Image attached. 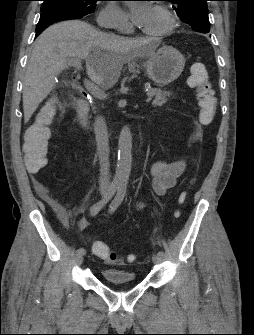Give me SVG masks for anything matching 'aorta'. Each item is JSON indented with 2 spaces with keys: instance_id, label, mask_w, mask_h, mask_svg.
Masks as SVG:
<instances>
[{
  "instance_id": "obj_1",
  "label": "aorta",
  "mask_w": 254,
  "mask_h": 335,
  "mask_svg": "<svg viewBox=\"0 0 254 335\" xmlns=\"http://www.w3.org/2000/svg\"><path fill=\"white\" fill-rule=\"evenodd\" d=\"M132 134L129 127L124 126L119 135L118 161L114 176V184L126 187L132 164Z\"/></svg>"
}]
</instances>
